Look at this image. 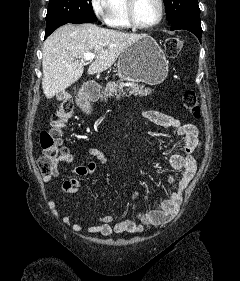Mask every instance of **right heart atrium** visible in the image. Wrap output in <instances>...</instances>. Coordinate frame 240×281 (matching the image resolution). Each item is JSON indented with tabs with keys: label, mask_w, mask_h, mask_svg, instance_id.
Here are the masks:
<instances>
[{
	"label": "right heart atrium",
	"mask_w": 240,
	"mask_h": 281,
	"mask_svg": "<svg viewBox=\"0 0 240 281\" xmlns=\"http://www.w3.org/2000/svg\"><path fill=\"white\" fill-rule=\"evenodd\" d=\"M110 3L111 0H89L94 15L105 22H107L110 15Z\"/></svg>",
	"instance_id": "obj_1"
}]
</instances>
